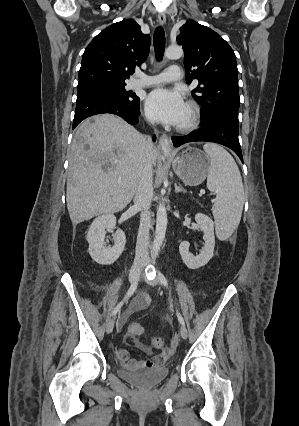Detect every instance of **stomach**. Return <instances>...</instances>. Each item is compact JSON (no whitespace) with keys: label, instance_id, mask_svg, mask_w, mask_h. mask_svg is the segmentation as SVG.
I'll return each mask as SVG.
<instances>
[{"label":"stomach","instance_id":"obj_1","mask_svg":"<svg viewBox=\"0 0 299 426\" xmlns=\"http://www.w3.org/2000/svg\"><path fill=\"white\" fill-rule=\"evenodd\" d=\"M167 158L171 160L176 175L189 186L201 184L211 168L209 156L192 147H188L179 156H167Z\"/></svg>","mask_w":299,"mask_h":426}]
</instances>
